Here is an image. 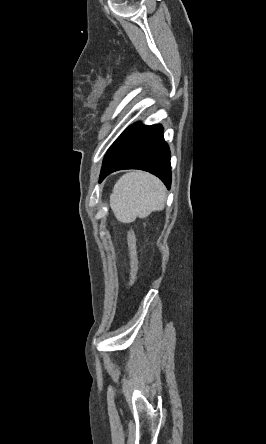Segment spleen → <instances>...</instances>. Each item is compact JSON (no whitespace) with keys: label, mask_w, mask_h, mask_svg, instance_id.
<instances>
[{"label":"spleen","mask_w":266,"mask_h":444,"mask_svg":"<svg viewBox=\"0 0 266 444\" xmlns=\"http://www.w3.org/2000/svg\"><path fill=\"white\" fill-rule=\"evenodd\" d=\"M165 187L155 176L141 171L124 174L114 185L110 198L116 218L131 223L137 217L146 218L163 208Z\"/></svg>","instance_id":"spleen-1"}]
</instances>
